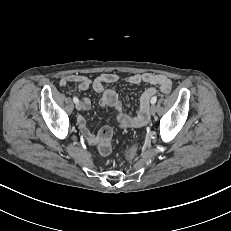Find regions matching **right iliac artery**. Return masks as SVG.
<instances>
[{
    "label": "right iliac artery",
    "instance_id": "82829eb1",
    "mask_svg": "<svg viewBox=\"0 0 231 231\" xmlns=\"http://www.w3.org/2000/svg\"><path fill=\"white\" fill-rule=\"evenodd\" d=\"M73 101H74V103H78L79 102V100H78L77 97H73Z\"/></svg>",
    "mask_w": 231,
    "mask_h": 231
}]
</instances>
